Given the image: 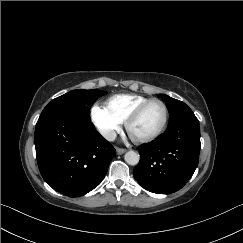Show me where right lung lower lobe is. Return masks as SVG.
<instances>
[{"label": "right lung lower lobe", "instance_id": "98d812e1", "mask_svg": "<svg viewBox=\"0 0 243 243\" xmlns=\"http://www.w3.org/2000/svg\"><path fill=\"white\" fill-rule=\"evenodd\" d=\"M35 147L43 179L69 197H79L96 188L116 155L91 120L67 115L38 120Z\"/></svg>", "mask_w": 243, "mask_h": 243}]
</instances>
